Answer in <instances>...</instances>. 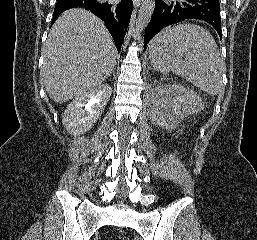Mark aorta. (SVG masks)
I'll return each instance as SVG.
<instances>
[{
	"mask_svg": "<svg viewBox=\"0 0 257 240\" xmlns=\"http://www.w3.org/2000/svg\"><path fill=\"white\" fill-rule=\"evenodd\" d=\"M155 7V0H143L140 7L138 17L136 19V26L134 35L139 36L150 22Z\"/></svg>",
	"mask_w": 257,
	"mask_h": 240,
	"instance_id": "aorta-1",
	"label": "aorta"
}]
</instances>
